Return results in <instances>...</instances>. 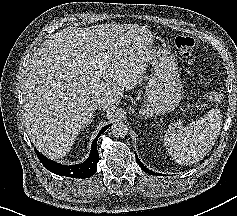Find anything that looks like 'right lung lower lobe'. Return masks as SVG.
Returning a JSON list of instances; mask_svg holds the SVG:
<instances>
[{
	"label": "right lung lower lobe",
	"mask_w": 237,
	"mask_h": 216,
	"mask_svg": "<svg viewBox=\"0 0 237 216\" xmlns=\"http://www.w3.org/2000/svg\"><path fill=\"white\" fill-rule=\"evenodd\" d=\"M110 125H106L103 127L98 136L93 140L91 146V153L89 158L82 164L78 165H61L57 162L51 161L40 154L36 149L35 152L41 161V163L47 168L50 172L60 175V176H67L72 178H88L94 175L97 171V163L99 161V154L97 151V139L100 137L102 133H104Z\"/></svg>",
	"instance_id": "obj_1"
}]
</instances>
